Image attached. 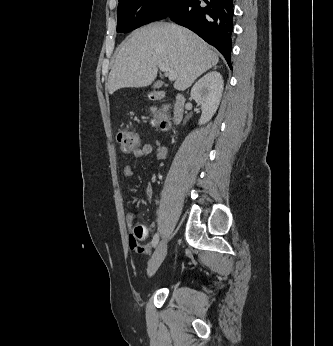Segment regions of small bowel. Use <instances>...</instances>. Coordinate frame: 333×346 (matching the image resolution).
<instances>
[{
	"label": "small bowel",
	"instance_id": "c3829d8e",
	"mask_svg": "<svg viewBox=\"0 0 333 346\" xmlns=\"http://www.w3.org/2000/svg\"><path fill=\"white\" fill-rule=\"evenodd\" d=\"M152 152H155L157 160H164L167 157V149L164 145L160 143L152 144H144L139 147L137 150L133 152L134 157L142 158L150 155ZM133 168L131 166H126L123 170V175L126 178H130L133 176ZM153 180L156 177H152ZM152 196V189L148 188L147 197L150 199ZM127 225L131 230H134V215L128 214L127 216ZM129 240L127 241V246L131 247L134 254H149L151 250V245L147 243H142L140 236L137 235L135 231H130L128 233Z\"/></svg>",
	"mask_w": 333,
	"mask_h": 346
}]
</instances>
